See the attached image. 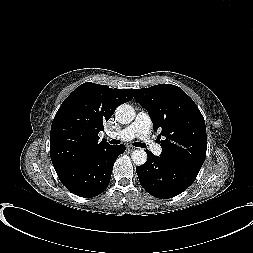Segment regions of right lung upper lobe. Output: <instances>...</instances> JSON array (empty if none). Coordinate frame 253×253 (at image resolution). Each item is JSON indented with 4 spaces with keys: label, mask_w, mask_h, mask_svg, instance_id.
<instances>
[{
    "label": "right lung upper lobe",
    "mask_w": 253,
    "mask_h": 253,
    "mask_svg": "<svg viewBox=\"0 0 253 253\" xmlns=\"http://www.w3.org/2000/svg\"><path fill=\"white\" fill-rule=\"evenodd\" d=\"M130 89L91 82L78 86L61 104L51 126L50 156L55 170L73 166L109 144L98 133L115 109L132 100Z\"/></svg>",
    "instance_id": "1"
}]
</instances>
